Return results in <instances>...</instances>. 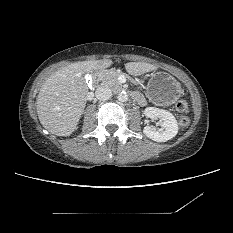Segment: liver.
<instances>
[{
    "label": "liver",
    "instance_id": "6515ba94",
    "mask_svg": "<svg viewBox=\"0 0 233 233\" xmlns=\"http://www.w3.org/2000/svg\"><path fill=\"white\" fill-rule=\"evenodd\" d=\"M112 60L75 62L48 77L42 84L36 102L37 114L42 126L57 136L71 135L86 106L88 87L84 74L102 72L112 65ZM127 72L134 76L157 69L145 62H128Z\"/></svg>",
    "mask_w": 233,
    "mask_h": 233
}]
</instances>
